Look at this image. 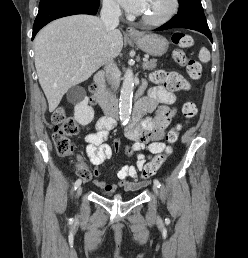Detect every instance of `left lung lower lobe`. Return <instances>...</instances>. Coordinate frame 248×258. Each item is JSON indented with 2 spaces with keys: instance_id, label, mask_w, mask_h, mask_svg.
Wrapping results in <instances>:
<instances>
[{
  "instance_id": "1",
  "label": "left lung lower lobe",
  "mask_w": 248,
  "mask_h": 258,
  "mask_svg": "<svg viewBox=\"0 0 248 258\" xmlns=\"http://www.w3.org/2000/svg\"><path fill=\"white\" fill-rule=\"evenodd\" d=\"M171 28H187L199 31L205 34L212 42V35L203 11L195 12L187 16H175L170 21L155 29L154 31L167 30Z\"/></svg>"
}]
</instances>
